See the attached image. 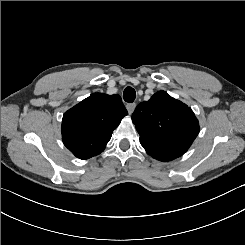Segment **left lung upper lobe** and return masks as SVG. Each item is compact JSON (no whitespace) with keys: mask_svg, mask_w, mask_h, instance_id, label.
Segmentation results:
<instances>
[{"mask_svg":"<svg viewBox=\"0 0 245 245\" xmlns=\"http://www.w3.org/2000/svg\"><path fill=\"white\" fill-rule=\"evenodd\" d=\"M140 143L153 158L169 161L183 155L199 133L194 112L165 91L141 102L132 114Z\"/></svg>","mask_w":245,"mask_h":245,"instance_id":"obj_1","label":"left lung upper lobe"}]
</instances>
